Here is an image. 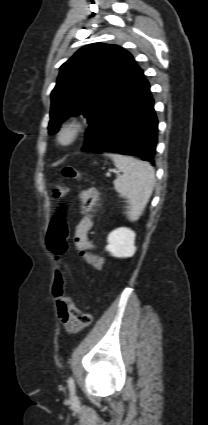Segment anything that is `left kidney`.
Returning <instances> with one entry per match:
<instances>
[{"instance_id": "obj_1", "label": "left kidney", "mask_w": 208, "mask_h": 425, "mask_svg": "<svg viewBox=\"0 0 208 425\" xmlns=\"http://www.w3.org/2000/svg\"><path fill=\"white\" fill-rule=\"evenodd\" d=\"M135 233L129 228L121 227L110 232L106 250L114 257L128 258L136 252L134 246Z\"/></svg>"}]
</instances>
